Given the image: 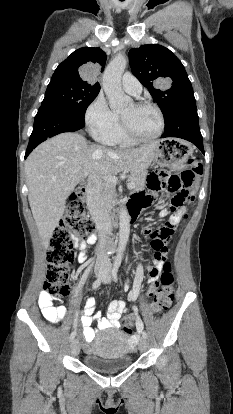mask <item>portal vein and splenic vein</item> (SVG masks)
I'll return each mask as SVG.
<instances>
[{"label": "portal vein and splenic vein", "mask_w": 233, "mask_h": 414, "mask_svg": "<svg viewBox=\"0 0 233 414\" xmlns=\"http://www.w3.org/2000/svg\"><path fill=\"white\" fill-rule=\"evenodd\" d=\"M104 181L107 184H111V185H116L118 183V178L115 176H111V175H105L103 177ZM127 188L128 189H133L134 188V184L133 183H128L127 184Z\"/></svg>", "instance_id": "portal-vein-and-splenic-vein-1"}]
</instances>
